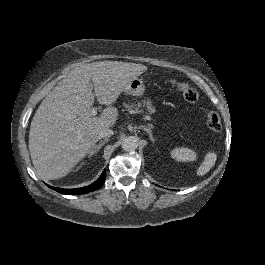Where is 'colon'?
<instances>
[{"label": "colon", "mask_w": 265, "mask_h": 265, "mask_svg": "<svg viewBox=\"0 0 265 265\" xmlns=\"http://www.w3.org/2000/svg\"><path fill=\"white\" fill-rule=\"evenodd\" d=\"M175 86L182 94L183 98L189 103H196L199 100V94L195 88L186 82L174 81ZM207 126L210 130L218 132L221 129V119L218 113L212 111L207 115Z\"/></svg>", "instance_id": "colon-1"}]
</instances>
